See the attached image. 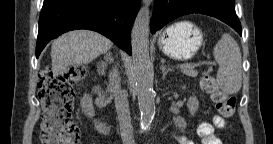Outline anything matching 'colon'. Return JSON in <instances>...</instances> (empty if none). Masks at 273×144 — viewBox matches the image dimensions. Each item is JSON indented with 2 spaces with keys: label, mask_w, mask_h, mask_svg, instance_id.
Listing matches in <instances>:
<instances>
[{
  "label": "colon",
  "mask_w": 273,
  "mask_h": 144,
  "mask_svg": "<svg viewBox=\"0 0 273 144\" xmlns=\"http://www.w3.org/2000/svg\"><path fill=\"white\" fill-rule=\"evenodd\" d=\"M85 70L72 67L60 75L44 71L39 76V98L44 113L40 139L42 144H77L80 131L73 120V85L85 77ZM202 89L211 95L218 113L225 119L233 116L236 98L227 95L217 85L215 79L205 72Z\"/></svg>",
  "instance_id": "colon-1"
}]
</instances>
